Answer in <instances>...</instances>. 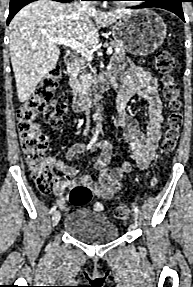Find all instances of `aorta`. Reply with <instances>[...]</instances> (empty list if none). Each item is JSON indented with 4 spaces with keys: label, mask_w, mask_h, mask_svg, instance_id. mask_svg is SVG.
<instances>
[{
    "label": "aorta",
    "mask_w": 193,
    "mask_h": 287,
    "mask_svg": "<svg viewBox=\"0 0 193 287\" xmlns=\"http://www.w3.org/2000/svg\"><path fill=\"white\" fill-rule=\"evenodd\" d=\"M96 118H97V120H99V121H100V119H101V114H100L99 110H98V113L96 114Z\"/></svg>",
    "instance_id": "762f6f07"
}]
</instances>
